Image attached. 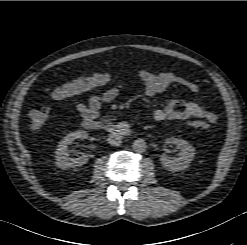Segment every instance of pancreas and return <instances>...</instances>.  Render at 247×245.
<instances>
[{"label":"pancreas","mask_w":247,"mask_h":245,"mask_svg":"<svg viewBox=\"0 0 247 245\" xmlns=\"http://www.w3.org/2000/svg\"><path fill=\"white\" fill-rule=\"evenodd\" d=\"M104 120H106V121H109V120H111L108 116H105L104 117Z\"/></svg>","instance_id":"pancreas-1"}]
</instances>
